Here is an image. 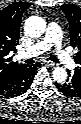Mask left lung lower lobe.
Instances as JSON below:
<instances>
[{"mask_svg": "<svg viewBox=\"0 0 81 124\" xmlns=\"http://www.w3.org/2000/svg\"><path fill=\"white\" fill-rule=\"evenodd\" d=\"M69 73V79L63 84L56 83V88L68 97H81V74Z\"/></svg>", "mask_w": 81, "mask_h": 124, "instance_id": "1", "label": "left lung lower lobe"}]
</instances>
